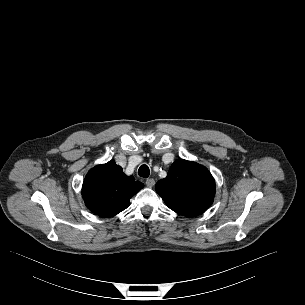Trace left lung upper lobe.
<instances>
[{
  "label": "left lung upper lobe",
  "mask_w": 305,
  "mask_h": 305,
  "mask_svg": "<svg viewBox=\"0 0 305 305\" xmlns=\"http://www.w3.org/2000/svg\"><path fill=\"white\" fill-rule=\"evenodd\" d=\"M156 191L167 206L184 216H197L213 202L215 181L202 165L180 159L175 161L165 179L156 183Z\"/></svg>",
  "instance_id": "obj_1"
}]
</instances>
